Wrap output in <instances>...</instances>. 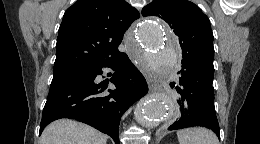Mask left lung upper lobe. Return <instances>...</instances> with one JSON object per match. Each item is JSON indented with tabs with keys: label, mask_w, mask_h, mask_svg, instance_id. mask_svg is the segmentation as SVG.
<instances>
[{
	"label": "left lung upper lobe",
	"mask_w": 260,
	"mask_h": 144,
	"mask_svg": "<svg viewBox=\"0 0 260 144\" xmlns=\"http://www.w3.org/2000/svg\"><path fill=\"white\" fill-rule=\"evenodd\" d=\"M143 16L165 20L179 38L182 63L214 74L213 33L208 17L187 0H153L142 9Z\"/></svg>",
	"instance_id": "obj_1"
}]
</instances>
